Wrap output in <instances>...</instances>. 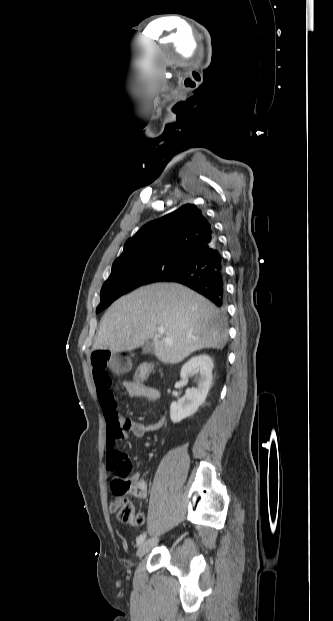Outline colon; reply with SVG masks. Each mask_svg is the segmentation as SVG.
<instances>
[{
	"instance_id": "1",
	"label": "colon",
	"mask_w": 333,
	"mask_h": 621,
	"mask_svg": "<svg viewBox=\"0 0 333 621\" xmlns=\"http://www.w3.org/2000/svg\"><path fill=\"white\" fill-rule=\"evenodd\" d=\"M152 366L144 364L140 366L131 381H127L128 385L133 388L138 383L144 382L146 377L150 374ZM129 468H117L112 471L110 479V488L115 495L114 500L111 502V510L116 513V517L120 522L128 523L132 525H142L144 522V516L141 513H136L130 500L126 497V494L130 493L134 484L129 477Z\"/></svg>"
}]
</instances>
